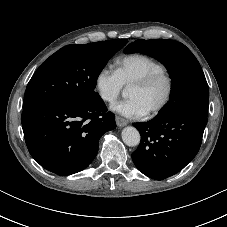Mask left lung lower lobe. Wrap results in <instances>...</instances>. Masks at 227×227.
<instances>
[{
	"mask_svg": "<svg viewBox=\"0 0 227 227\" xmlns=\"http://www.w3.org/2000/svg\"><path fill=\"white\" fill-rule=\"evenodd\" d=\"M206 124L207 117L189 112L134 123L141 135L132 153L135 166L156 180L178 173L198 153Z\"/></svg>",
	"mask_w": 227,
	"mask_h": 227,
	"instance_id": "1",
	"label": "left lung lower lobe"
}]
</instances>
